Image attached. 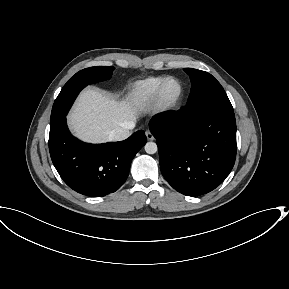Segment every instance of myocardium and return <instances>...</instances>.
<instances>
[{
  "instance_id": "obj_1",
  "label": "myocardium",
  "mask_w": 289,
  "mask_h": 289,
  "mask_svg": "<svg viewBox=\"0 0 289 289\" xmlns=\"http://www.w3.org/2000/svg\"><path fill=\"white\" fill-rule=\"evenodd\" d=\"M171 81H174L178 84L179 90H178L177 95L174 98L168 99L165 97L164 91H165L166 85ZM183 95H184V87H183L182 82L176 77H167L161 82V84L159 85L157 89V92L155 95V102L160 109L170 110L176 107L180 103V101L183 98Z\"/></svg>"
}]
</instances>
